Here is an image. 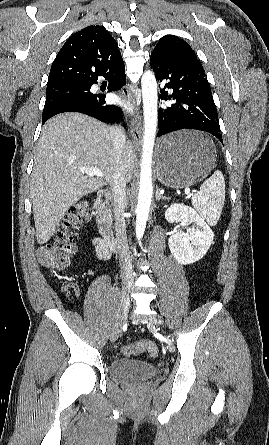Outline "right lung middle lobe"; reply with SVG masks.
<instances>
[{
	"mask_svg": "<svg viewBox=\"0 0 269 445\" xmlns=\"http://www.w3.org/2000/svg\"><path fill=\"white\" fill-rule=\"evenodd\" d=\"M90 84L64 85L47 88L42 121L50 117L58 108L91 96Z\"/></svg>",
	"mask_w": 269,
	"mask_h": 445,
	"instance_id": "dd1d6c3e",
	"label": "right lung middle lobe"
}]
</instances>
